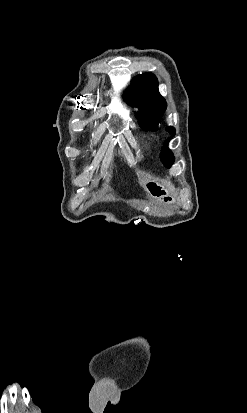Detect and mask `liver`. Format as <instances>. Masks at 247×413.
Wrapping results in <instances>:
<instances>
[{
	"label": "liver",
	"instance_id": "liver-1",
	"mask_svg": "<svg viewBox=\"0 0 247 413\" xmlns=\"http://www.w3.org/2000/svg\"><path fill=\"white\" fill-rule=\"evenodd\" d=\"M151 178H153V176H150V174H146V178L139 176V182L140 184H145V182H147V180H151Z\"/></svg>",
	"mask_w": 247,
	"mask_h": 413
}]
</instances>
